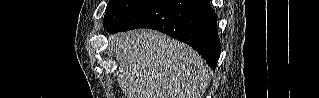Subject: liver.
<instances>
[{"label": "liver", "mask_w": 319, "mask_h": 98, "mask_svg": "<svg viewBox=\"0 0 319 98\" xmlns=\"http://www.w3.org/2000/svg\"><path fill=\"white\" fill-rule=\"evenodd\" d=\"M126 98H202L210 75L190 46L153 30L110 37Z\"/></svg>", "instance_id": "liver-1"}]
</instances>
